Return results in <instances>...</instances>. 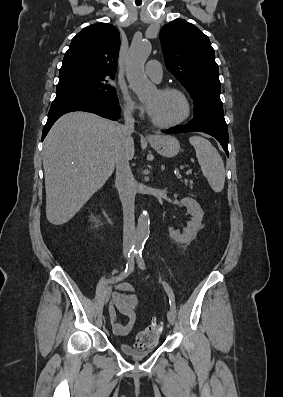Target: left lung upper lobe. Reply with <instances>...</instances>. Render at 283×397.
Masks as SVG:
<instances>
[{"mask_svg": "<svg viewBox=\"0 0 283 397\" xmlns=\"http://www.w3.org/2000/svg\"><path fill=\"white\" fill-rule=\"evenodd\" d=\"M160 41L166 68L194 100L193 114L224 117L219 70L209 38L193 24L175 19L162 27Z\"/></svg>", "mask_w": 283, "mask_h": 397, "instance_id": "1", "label": "left lung upper lobe"}]
</instances>
